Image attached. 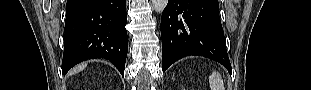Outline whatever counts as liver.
Here are the masks:
<instances>
[{"label": "liver", "mask_w": 311, "mask_h": 90, "mask_svg": "<svg viewBox=\"0 0 311 90\" xmlns=\"http://www.w3.org/2000/svg\"><path fill=\"white\" fill-rule=\"evenodd\" d=\"M86 66H87L86 63L81 64V65L77 66L76 68H74L71 73H76V72L82 71Z\"/></svg>", "instance_id": "1"}]
</instances>
